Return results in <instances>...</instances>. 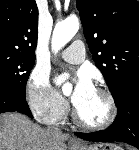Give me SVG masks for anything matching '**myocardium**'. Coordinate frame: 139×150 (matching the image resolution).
Returning <instances> with one entry per match:
<instances>
[{
    "mask_svg": "<svg viewBox=\"0 0 139 150\" xmlns=\"http://www.w3.org/2000/svg\"><path fill=\"white\" fill-rule=\"evenodd\" d=\"M95 90L101 93L106 98L108 104V110H109L107 118L99 124L87 123L84 120H82L76 106L74 105L73 119L74 122L83 129L91 130V131H101L109 128L115 122L118 115V106H117L116 99L111 91H109L104 87H96Z\"/></svg>",
    "mask_w": 139,
    "mask_h": 150,
    "instance_id": "f54148a6",
    "label": "myocardium"
}]
</instances>
